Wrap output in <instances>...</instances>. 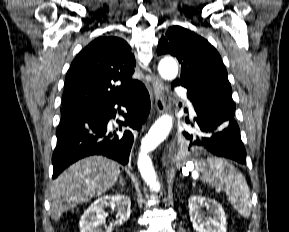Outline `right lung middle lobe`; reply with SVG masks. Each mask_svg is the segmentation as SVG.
I'll use <instances>...</instances> for the list:
<instances>
[{
    "instance_id": "1",
    "label": "right lung middle lobe",
    "mask_w": 289,
    "mask_h": 232,
    "mask_svg": "<svg viewBox=\"0 0 289 232\" xmlns=\"http://www.w3.org/2000/svg\"><path fill=\"white\" fill-rule=\"evenodd\" d=\"M80 111H82V110H80ZM80 111L61 112V116L73 115V114L79 113Z\"/></svg>"
}]
</instances>
